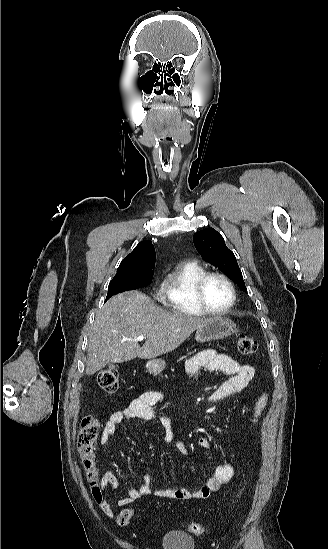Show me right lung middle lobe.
Here are the masks:
<instances>
[{
	"label": "right lung middle lobe",
	"mask_w": 328,
	"mask_h": 549,
	"mask_svg": "<svg viewBox=\"0 0 328 549\" xmlns=\"http://www.w3.org/2000/svg\"><path fill=\"white\" fill-rule=\"evenodd\" d=\"M155 262H144L133 267L117 271L108 287L106 300L113 295L146 286L151 283Z\"/></svg>",
	"instance_id": "obj_1"
}]
</instances>
